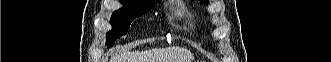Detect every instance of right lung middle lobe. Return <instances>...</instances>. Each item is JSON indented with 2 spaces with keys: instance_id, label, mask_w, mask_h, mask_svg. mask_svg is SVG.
I'll return each mask as SVG.
<instances>
[{
  "instance_id": "dd1d6c3e",
  "label": "right lung middle lobe",
  "mask_w": 331,
  "mask_h": 62,
  "mask_svg": "<svg viewBox=\"0 0 331 62\" xmlns=\"http://www.w3.org/2000/svg\"><path fill=\"white\" fill-rule=\"evenodd\" d=\"M123 7L116 10L110 19L112 29L106 33L107 45H113L114 41L125 35L131 22L143 15L147 9L151 8L155 3H145L138 1L120 0Z\"/></svg>"
}]
</instances>
